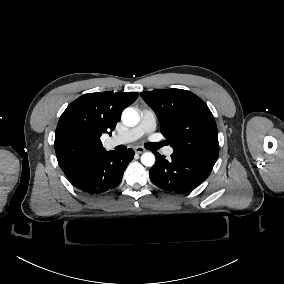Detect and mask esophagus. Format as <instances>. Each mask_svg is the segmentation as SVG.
Instances as JSON below:
<instances>
[{
  "label": "esophagus",
  "instance_id": "esophagus-1",
  "mask_svg": "<svg viewBox=\"0 0 284 284\" xmlns=\"http://www.w3.org/2000/svg\"><path fill=\"white\" fill-rule=\"evenodd\" d=\"M133 149L137 154H142L146 151L145 148L142 146H135L133 147Z\"/></svg>",
  "mask_w": 284,
  "mask_h": 284
}]
</instances>
